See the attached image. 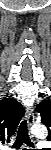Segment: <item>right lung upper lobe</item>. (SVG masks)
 Wrapping results in <instances>:
<instances>
[{
  "label": "right lung upper lobe",
  "instance_id": "cb5924a9",
  "mask_svg": "<svg viewBox=\"0 0 51 150\" xmlns=\"http://www.w3.org/2000/svg\"><path fill=\"white\" fill-rule=\"evenodd\" d=\"M23 115L24 108L16 100L5 98L0 101V142L9 143Z\"/></svg>",
  "mask_w": 51,
  "mask_h": 150
}]
</instances>
